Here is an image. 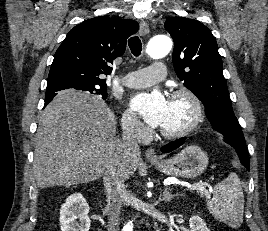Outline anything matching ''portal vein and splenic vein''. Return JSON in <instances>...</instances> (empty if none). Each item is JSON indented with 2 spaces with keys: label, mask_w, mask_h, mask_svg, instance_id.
Here are the masks:
<instances>
[{
  "label": "portal vein and splenic vein",
  "mask_w": 268,
  "mask_h": 231,
  "mask_svg": "<svg viewBox=\"0 0 268 231\" xmlns=\"http://www.w3.org/2000/svg\"><path fill=\"white\" fill-rule=\"evenodd\" d=\"M186 187L190 190H198L200 192L208 194V191L205 189L203 184L187 185Z\"/></svg>",
  "instance_id": "portal-vein-and-splenic-vein-1"
}]
</instances>
